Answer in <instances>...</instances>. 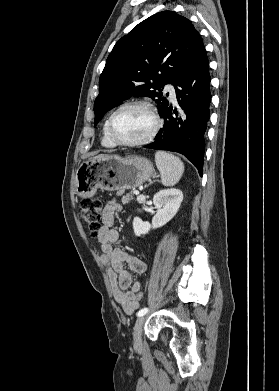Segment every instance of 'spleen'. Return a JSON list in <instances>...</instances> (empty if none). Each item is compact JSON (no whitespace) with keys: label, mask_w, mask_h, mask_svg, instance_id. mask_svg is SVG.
<instances>
[{"label":"spleen","mask_w":279,"mask_h":391,"mask_svg":"<svg viewBox=\"0 0 279 391\" xmlns=\"http://www.w3.org/2000/svg\"><path fill=\"white\" fill-rule=\"evenodd\" d=\"M155 162L164 186H174L179 182L184 172V164L178 157L167 152L157 151Z\"/></svg>","instance_id":"1"}]
</instances>
